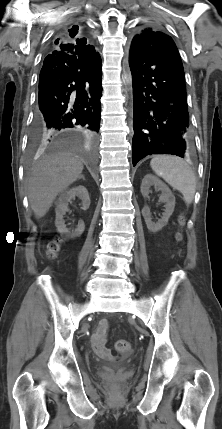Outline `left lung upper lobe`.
<instances>
[{"label":"left lung upper lobe","instance_id":"1","mask_svg":"<svg viewBox=\"0 0 222 429\" xmlns=\"http://www.w3.org/2000/svg\"><path fill=\"white\" fill-rule=\"evenodd\" d=\"M162 35H164L163 32H160L154 28H146L134 36L132 44L138 41L145 44L146 42H150L155 39L158 40L157 37Z\"/></svg>","mask_w":222,"mask_h":429}]
</instances>
